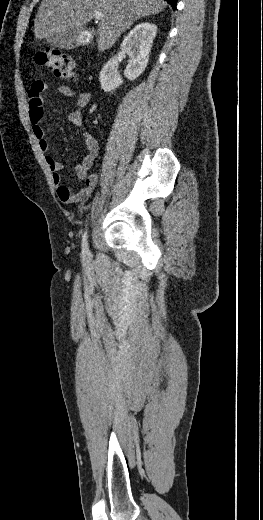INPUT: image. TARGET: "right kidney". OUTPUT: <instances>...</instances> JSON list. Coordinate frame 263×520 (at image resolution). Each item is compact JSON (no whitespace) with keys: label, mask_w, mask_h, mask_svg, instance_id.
I'll use <instances>...</instances> for the list:
<instances>
[{"label":"right kidney","mask_w":263,"mask_h":520,"mask_svg":"<svg viewBox=\"0 0 263 520\" xmlns=\"http://www.w3.org/2000/svg\"><path fill=\"white\" fill-rule=\"evenodd\" d=\"M156 33L157 27L155 24L143 22L136 25L124 38L120 49L123 53L128 54L130 58L124 71V76L130 81L139 77L147 67ZM117 69L118 64L111 59L102 68L99 80L101 88L105 92H111L122 85L123 79Z\"/></svg>","instance_id":"1"}]
</instances>
